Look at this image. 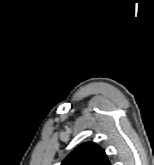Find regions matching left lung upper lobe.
I'll return each mask as SVG.
<instances>
[{
	"mask_svg": "<svg viewBox=\"0 0 154 165\" xmlns=\"http://www.w3.org/2000/svg\"><path fill=\"white\" fill-rule=\"evenodd\" d=\"M61 165H110L104 150L87 142L72 151Z\"/></svg>",
	"mask_w": 154,
	"mask_h": 165,
	"instance_id": "obj_1",
	"label": "left lung upper lobe"
}]
</instances>
